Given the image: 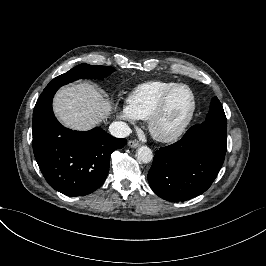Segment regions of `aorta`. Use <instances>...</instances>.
Returning <instances> with one entry per match:
<instances>
[{
    "label": "aorta",
    "mask_w": 266,
    "mask_h": 266,
    "mask_svg": "<svg viewBox=\"0 0 266 266\" xmlns=\"http://www.w3.org/2000/svg\"><path fill=\"white\" fill-rule=\"evenodd\" d=\"M136 152L137 158L144 164L150 163L153 160V152L147 146H141Z\"/></svg>",
    "instance_id": "762f6f07"
}]
</instances>
